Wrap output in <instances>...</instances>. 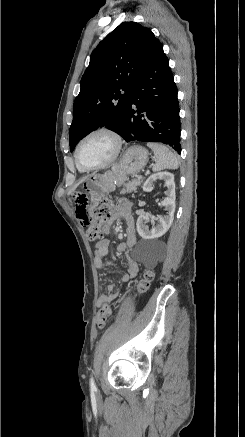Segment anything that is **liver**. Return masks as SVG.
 Wrapping results in <instances>:
<instances>
[{
	"label": "liver",
	"mask_w": 245,
	"mask_h": 437,
	"mask_svg": "<svg viewBox=\"0 0 245 437\" xmlns=\"http://www.w3.org/2000/svg\"><path fill=\"white\" fill-rule=\"evenodd\" d=\"M85 179H86V178H83L79 183H77L76 185H74L73 188L70 190L69 194H70V195L73 194L74 191L76 190V188L78 187V185H79L80 183H82Z\"/></svg>",
	"instance_id": "1"
}]
</instances>
